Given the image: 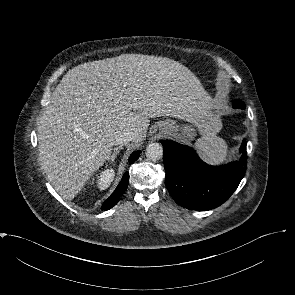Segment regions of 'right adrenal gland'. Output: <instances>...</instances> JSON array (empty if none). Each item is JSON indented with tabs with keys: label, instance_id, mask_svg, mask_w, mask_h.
<instances>
[{
	"label": "right adrenal gland",
	"instance_id": "obj_1",
	"mask_svg": "<svg viewBox=\"0 0 295 295\" xmlns=\"http://www.w3.org/2000/svg\"><path fill=\"white\" fill-rule=\"evenodd\" d=\"M121 149H122L121 146L114 148V152L109 157L108 162H114L115 158L117 157Z\"/></svg>",
	"mask_w": 295,
	"mask_h": 295
}]
</instances>
